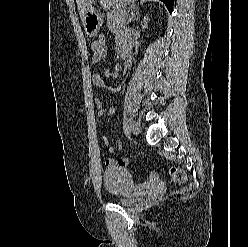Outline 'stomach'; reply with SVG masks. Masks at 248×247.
<instances>
[{
  "mask_svg": "<svg viewBox=\"0 0 248 247\" xmlns=\"http://www.w3.org/2000/svg\"><path fill=\"white\" fill-rule=\"evenodd\" d=\"M104 9L110 7H125L136 0H98ZM85 33L89 37L97 35L103 23V16L96 10L93 3H90L81 18Z\"/></svg>",
  "mask_w": 248,
  "mask_h": 247,
  "instance_id": "0dacf381",
  "label": "stomach"
}]
</instances>
